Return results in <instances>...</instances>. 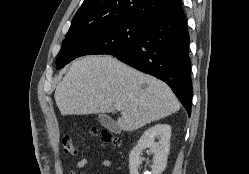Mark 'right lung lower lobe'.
<instances>
[{
    "instance_id": "98d812e1",
    "label": "right lung lower lobe",
    "mask_w": 249,
    "mask_h": 174,
    "mask_svg": "<svg viewBox=\"0 0 249 174\" xmlns=\"http://www.w3.org/2000/svg\"><path fill=\"white\" fill-rule=\"evenodd\" d=\"M189 34L183 10L150 18L141 37L119 53L122 62L164 81L191 115Z\"/></svg>"
}]
</instances>
